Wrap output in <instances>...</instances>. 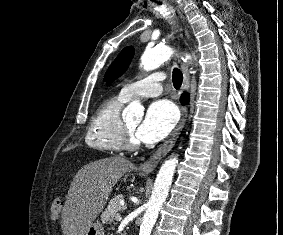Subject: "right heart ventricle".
Returning <instances> with one entry per match:
<instances>
[{
  "mask_svg": "<svg viewBox=\"0 0 283 235\" xmlns=\"http://www.w3.org/2000/svg\"><path fill=\"white\" fill-rule=\"evenodd\" d=\"M127 100L121 94L103 101L89 123L85 142L89 148L105 153L122 150L120 145L121 109Z\"/></svg>",
  "mask_w": 283,
  "mask_h": 235,
  "instance_id": "e07e8e85",
  "label": "right heart ventricle"
}]
</instances>
